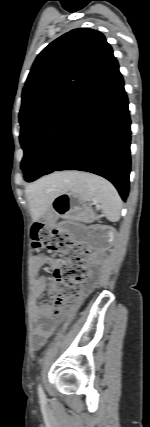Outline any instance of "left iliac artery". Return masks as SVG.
<instances>
[{"instance_id": "44dca946", "label": "left iliac artery", "mask_w": 150, "mask_h": 427, "mask_svg": "<svg viewBox=\"0 0 150 427\" xmlns=\"http://www.w3.org/2000/svg\"><path fill=\"white\" fill-rule=\"evenodd\" d=\"M38 394H39V398L41 400H45V394H44V391H43L41 384H38Z\"/></svg>"}]
</instances>
